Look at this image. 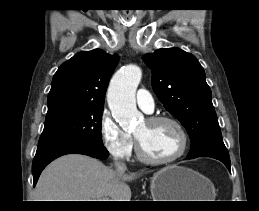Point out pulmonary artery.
<instances>
[{
	"label": "pulmonary artery",
	"mask_w": 259,
	"mask_h": 211,
	"mask_svg": "<svg viewBox=\"0 0 259 211\" xmlns=\"http://www.w3.org/2000/svg\"><path fill=\"white\" fill-rule=\"evenodd\" d=\"M136 100L138 106L146 113H151L154 110V99L146 89L137 91Z\"/></svg>",
	"instance_id": "e3ab8cb5"
}]
</instances>
